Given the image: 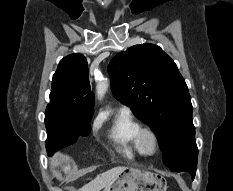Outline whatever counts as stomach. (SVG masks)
Segmentation results:
<instances>
[{"label": "stomach", "mask_w": 233, "mask_h": 191, "mask_svg": "<svg viewBox=\"0 0 233 191\" xmlns=\"http://www.w3.org/2000/svg\"><path fill=\"white\" fill-rule=\"evenodd\" d=\"M165 178L155 172L138 168H126L103 191H166Z\"/></svg>", "instance_id": "1"}]
</instances>
